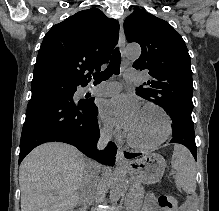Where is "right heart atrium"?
<instances>
[{
    "instance_id": "obj_1",
    "label": "right heart atrium",
    "mask_w": 219,
    "mask_h": 211,
    "mask_svg": "<svg viewBox=\"0 0 219 211\" xmlns=\"http://www.w3.org/2000/svg\"><path fill=\"white\" fill-rule=\"evenodd\" d=\"M101 133H102L103 138L105 139H110L114 135L117 136L114 130L110 126H107V125L101 128Z\"/></svg>"
}]
</instances>
